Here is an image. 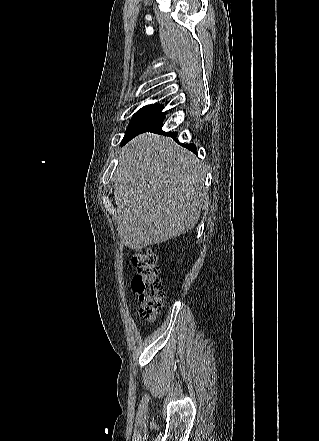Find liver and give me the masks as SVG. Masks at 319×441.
I'll use <instances>...</instances> for the list:
<instances>
[{
	"mask_svg": "<svg viewBox=\"0 0 319 441\" xmlns=\"http://www.w3.org/2000/svg\"><path fill=\"white\" fill-rule=\"evenodd\" d=\"M206 168L173 139L140 134L122 148L114 197L120 238L141 250L186 233L207 205Z\"/></svg>",
	"mask_w": 319,
	"mask_h": 441,
	"instance_id": "liver-1",
	"label": "liver"
}]
</instances>
